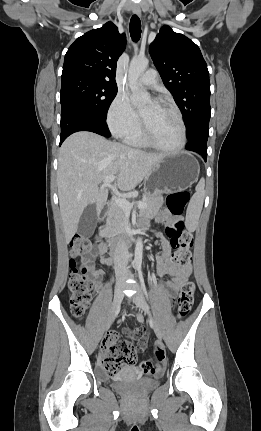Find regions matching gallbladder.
<instances>
[{
	"mask_svg": "<svg viewBox=\"0 0 261 431\" xmlns=\"http://www.w3.org/2000/svg\"><path fill=\"white\" fill-rule=\"evenodd\" d=\"M97 208L95 204L87 206L81 215L78 223V234L82 237H89L93 234L97 225Z\"/></svg>",
	"mask_w": 261,
	"mask_h": 431,
	"instance_id": "bac80fb5",
	"label": "gallbladder"
}]
</instances>
